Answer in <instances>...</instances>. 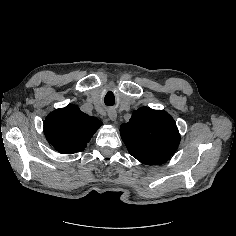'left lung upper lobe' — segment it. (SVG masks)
Listing matches in <instances>:
<instances>
[{
    "instance_id": "1",
    "label": "left lung upper lobe",
    "mask_w": 236,
    "mask_h": 236,
    "mask_svg": "<svg viewBox=\"0 0 236 236\" xmlns=\"http://www.w3.org/2000/svg\"><path fill=\"white\" fill-rule=\"evenodd\" d=\"M129 153L144 164L161 165L177 150L180 135L173 118L163 110L141 107L120 128Z\"/></svg>"
}]
</instances>
